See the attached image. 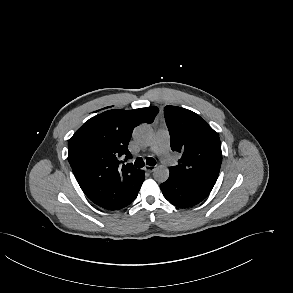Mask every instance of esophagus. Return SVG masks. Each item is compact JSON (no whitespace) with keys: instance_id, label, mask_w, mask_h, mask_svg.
Masks as SVG:
<instances>
[{"instance_id":"obj_1","label":"esophagus","mask_w":293,"mask_h":293,"mask_svg":"<svg viewBox=\"0 0 293 293\" xmlns=\"http://www.w3.org/2000/svg\"><path fill=\"white\" fill-rule=\"evenodd\" d=\"M144 170L149 172V173H152L155 170V166L147 165V166L144 167Z\"/></svg>"}]
</instances>
